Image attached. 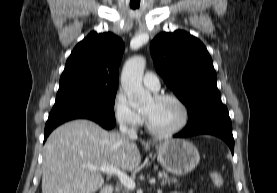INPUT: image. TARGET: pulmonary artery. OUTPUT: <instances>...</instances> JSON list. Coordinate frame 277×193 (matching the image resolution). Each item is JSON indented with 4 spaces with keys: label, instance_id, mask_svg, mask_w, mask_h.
<instances>
[{
    "label": "pulmonary artery",
    "instance_id": "1",
    "mask_svg": "<svg viewBox=\"0 0 277 193\" xmlns=\"http://www.w3.org/2000/svg\"><path fill=\"white\" fill-rule=\"evenodd\" d=\"M143 84L152 91H158L160 88V81L158 76L153 72H146L143 76Z\"/></svg>",
    "mask_w": 277,
    "mask_h": 193
}]
</instances>
